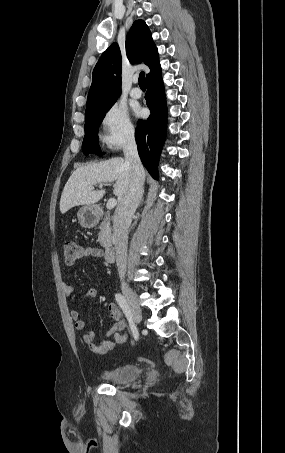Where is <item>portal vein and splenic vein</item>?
I'll list each match as a JSON object with an SVG mask.
<instances>
[{"label":"portal vein and splenic vein","mask_w":285,"mask_h":453,"mask_svg":"<svg viewBox=\"0 0 285 453\" xmlns=\"http://www.w3.org/2000/svg\"><path fill=\"white\" fill-rule=\"evenodd\" d=\"M99 187L102 188L103 184H100ZM91 189H94V187H91ZM116 204H117L116 199L111 198L108 200L106 207H107V209L110 210V209H113L116 206Z\"/></svg>","instance_id":"portal-vein-and-splenic-vein-1"}]
</instances>
